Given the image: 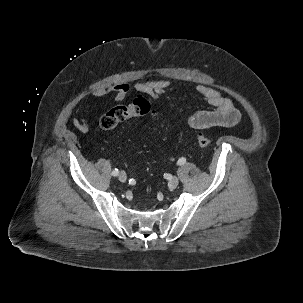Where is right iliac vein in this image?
<instances>
[{
  "label": "right iliac vein",
  "mask_w": 303,
  "mask_h": 303,
  "mask_svg": "<svg viewBox=\"0 0 303 303\" xmlns=\"http://www.w3.org/2000/svg\"><path fill=\"white\" fill-rule=\"evenodd\" d=\"M118 178H119V180H120L121 182H126V180H127V175H126V173H125L124 171H121V172L119 173Z\"/></svg>",
  "instance_id": "63e3f726"
}]
</instances>
